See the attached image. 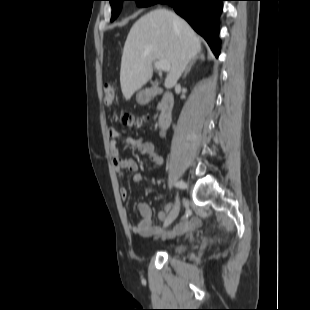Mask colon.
<instances>
[{
    "instance_id": "5ec220e1",
    "label": "colon",
    "mask_w": 310,
    "mask_h": 310,
    "mask_svg": "<svg viewBox=\"0 0 310 310\" xmlns=\"http://www.w3.org/2000/svg\"><path fill=\"white\" fill-rule=\"evenodd\" d=\"M118 97V90L115 85L105 83L103 85V101L106 105L110 106L116 103ZM143 119L136 118L129 114L122 116V123L125 126H140Z\"/></svg>"
}]
</instances>
